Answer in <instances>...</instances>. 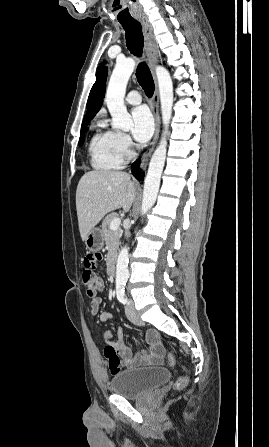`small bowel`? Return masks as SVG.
Segmentation results:
<instances>
[{
	"label": "small bowel",
	"instance_id": "1",
	"mask_svg": "<svg viewBox=\"0 0 269 447\" xmlns=\"http://www.w3.org/2000/svg\"><path fill=\"white\" fill-rule=\"evenodd\" d=\"M102 299L100 297H94L91 301V313L96 314L99 310ZM113 318V314L110 312H102L99 314V320L102 322L108 321ZM145 339L148 340V347L151 351L150 354L138 355L131 348L124 343V330L119 327L117 329V339L113 342L115 349L121 354L123 359V365L126 368H134L141 365H153L161 362L164 358L163 351L160 347L159 338L164 337V334L147 331L144 334ZM111 333L105 334V339L109 340Z\"/></svg>",
	"mask_w": 269,
	"mask_h": 447
}]
</instances>
